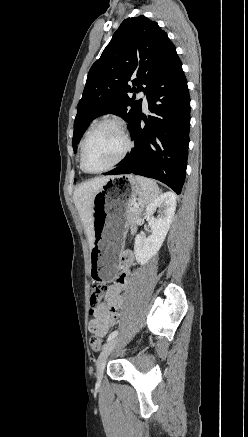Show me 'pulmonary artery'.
<instances>
[{
    "label": "pulmonary artery",
    "mask_w": 248,
    "mask_h": 437,
    "mask_svg": "<svg viewBox=\"0 0 248 437\" xmlns=\"http://www.w3.org/2000/svg\"><path fill=\"white\" fill-rule=\"evenodd\" d=\"M138 96H139V98L142 99L143 106H144L145 108H147V106H148L147 95H146L143 91H141V92L138 94Z\"/></svg>",
    "instance_id": "1"
}]
</instances>
